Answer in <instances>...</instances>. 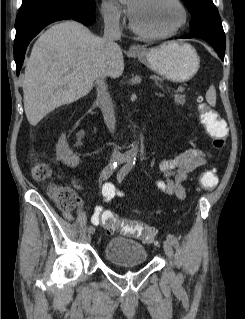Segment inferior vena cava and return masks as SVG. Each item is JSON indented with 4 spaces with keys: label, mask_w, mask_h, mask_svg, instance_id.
<instances>
[{
    "label": "inferior vena cava",
    "mask_w": 245,
    "mask_h": 319,
    "mask_svg": "<svg viewBox=\"0 0 245 319\" xmlns=\"http://www.w3.org/2000/svg\"><path fill=\"white\" fill-rule=\"evenodd\" d=\"M119 18V15L115 12H108L104 15L105 28L103 45L109 55L120 51V47L116 43V41L121 38ZM96 85L98 94L102 99V113L104 121L109 131L114 134L116 127L115 110L112 100L107 93L106 73L103 70L96 74ZM120 156L121 153L119 152V148L117 149V147H115L112 153V159L119 160Z\"/></svg>",
    "instance_id": "inferior-vena-cava-1"
}]
</instances>
